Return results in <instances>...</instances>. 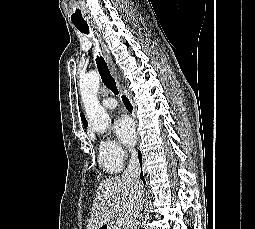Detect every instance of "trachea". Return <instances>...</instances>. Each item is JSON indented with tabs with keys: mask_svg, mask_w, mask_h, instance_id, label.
Wrapping results in <instances>:
<instances>
[{
	"mask_svg": "<svg viewBox=\"0 0 255 229\" xmlns=\"http://www.w3.org/2000/svg\"><path fill=\"white\" fill-rule=\"evenodd\" d=\"M75 27L84 34H89V26L87 23H74ZM97 68L100 73L102 82L109 88L115 95L118 94L116 82L112 77L105 60L100 56L96 58Z\"/></svg>",
	"mask_w": 255,
	"mask_h": 229,
	"instance_id": "obj_1",
	"label": "trachea"
}]
</instances>
